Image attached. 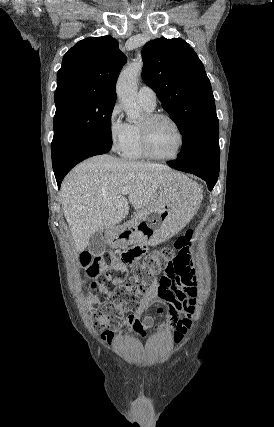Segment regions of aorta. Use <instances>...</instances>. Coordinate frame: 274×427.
Instances as JSON below:
<instances>
[{
  "instance_id": "1",
  "label": "aorta",
  "mask_w": 274,
  "mask_h": 427,
  "mask_svg": "<svg viewBox=\"0 0 274 427\" xmlns=\"http://www.w3.org/2000/svg\"><path fill=\"white\" fill-rule=\"evenodd\" d=\"M142 67L143 63L141 59L130 63L120 73L116 84L118 99L130 120H136L141 115V108L136 102V94Z\"/></svg>"
}]
</instances>
